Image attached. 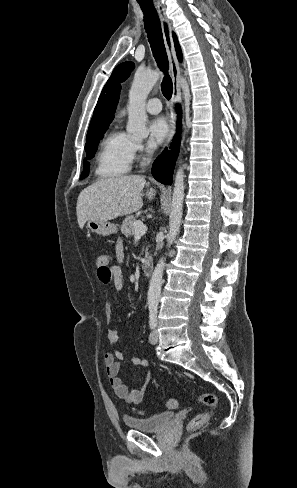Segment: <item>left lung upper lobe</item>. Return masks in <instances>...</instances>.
Segmentation results:
<instances>
[{
    "mask_svg": "<svg viewBox=\"0 0 297 488\" xmlns=\"http://www.w3.org/2000/svg\"><path fill=\"white\" fill-rule=\"evenodd\" d=\"M173 38H174V42H175V48H176L177 56H178L179 60L181 61L182 54H181L180 46L178 44V41H177L175 34H173ZM133 69H134V64L132 62H125V63H121L120 65H118L114 69V71H113L111 77L109 78V80L107 81V83L105 84L100 97L104 94L105 91H107L115 83L123 82L124 80H126L129 77L130 72Z\"/></svg>",
    "mask_w": 297,
    "mask_h": 488,
    "instance_id": "left-lung-upper-lobe-1",
    "label": "left lung upper lobe"
}]
</instances>
